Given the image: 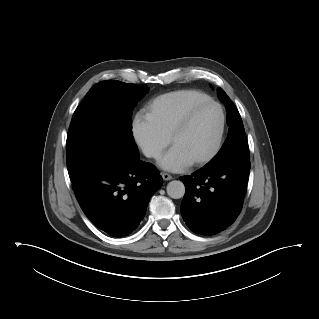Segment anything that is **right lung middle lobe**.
Here are the masks:
<instances>
[{
	"instance_id": "right-lung-middle-lobe-1",
	"label": "right lung middle lobe",
	"mask_w": 319,
	"mask_h": 319,
	"mask_svg": "<svg viewBox=\"0 0 319 319\" xmlns=\"http://www.w3.org/2000/svg\"><path fill=\"white\" fill-rule=\"evenodd\" d=\"M149 88L117 80L94 85L77 107L67 134L70 179L109 152L139 151L132 137V110Z\"/></svg>"
}]
</instances>
